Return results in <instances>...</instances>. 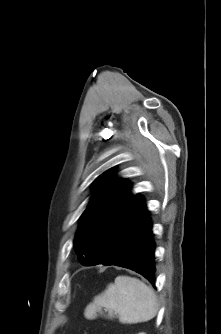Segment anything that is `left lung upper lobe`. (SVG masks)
<instances>
[{
	"label": "left lung upper lobe",
	"instance_id": "1",
	"mask_svg": "<svg viewBox=\"0 0 221 334\" xmlns=\"http://www.w3.org/2000/svg\"><path fill=\"white\" fill-rule=\"evenodd\" d=\"M113 176V169H109L95 180V193L82 214L74 240L82 265H91L95 260L94 250L100 238L132 198L131 185Z\"/></svg>",
	"mask_w": 221,
	"mask_h": 334
}]
</instances>
